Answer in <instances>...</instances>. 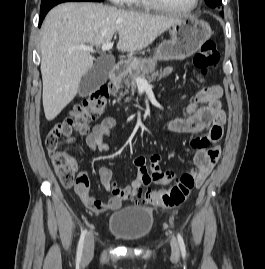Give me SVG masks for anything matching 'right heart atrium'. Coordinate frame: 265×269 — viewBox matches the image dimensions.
<instances>
[{
    "mask_svg": "<svg viewBox=\"0 0 265 269\" xmlns=\"http://www.w3.org/2000/svg\"><path fill=\"white\" fill-rule=\"evenodd\" d=\"M110 2L115 5H124L128 2V0H110Z\"/></svg>",
    "mask_w": 265,
    "mask_h": 269,
    "instance_id": "right-heart-atrium-1",
    "label": "right heart atrium"
}]
</instances>
